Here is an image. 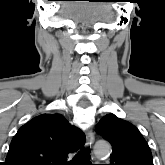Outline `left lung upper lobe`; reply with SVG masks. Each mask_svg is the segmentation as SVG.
Here are the masks:
<instances>
[{
	"label": "left lung upper lobe",
	"instance_id": "5c2ea615",
	"mask_svg": "<svg viewBox=\"0 0 165 165\" xmlns=\"http://www.w3.org/2000/svg\"><path fill=\"white\" fill-rule=\"evenodd\" d=\"M96 131L112 145L110 165H153L147 142L131 123L108 114L99 121Z\"/></svg>",
	"mask_w": 165,
	"mask_h": 165
}]
</instances>
